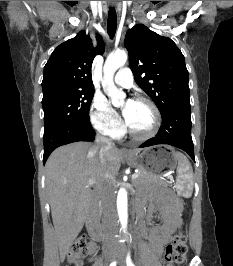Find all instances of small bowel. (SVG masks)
I'll use <instances>...</instances> for the list:
<instances>
[{
  "instance_id": "c3829d8e",
  "label": "small bowel",
  "mask_w": 233,
  "mask_h": 266,
  "mask_svg": "<svg viewBox=\"0 0 233 266\" xmlns=\"http://www.w3.org/2000/svg\"><path fill=\"white\" fill-rule=\"evenodd\" d=\"M147 204L145 218L139 220V229L142 236L150 243L154 254L160 257L165 244L169 242L175 230L180 227L182 202L171 191L163 190L149 200L146 198L139 199L137 207L144 213ZM155 213L159 214L161 223L152 226ZM87 249L90 259L95 260L97 256L96 243L90 242Z\"/></svg>"
}]
</instances>
